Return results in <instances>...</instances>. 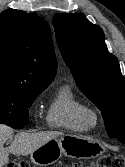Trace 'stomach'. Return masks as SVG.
I'll use <instances>...</instances> for the list:
<instances>
[{
  "label": "stomach",
  "instance_id": "0dacf381",
  "mask_svg": "<svg viewBox=\"0 0 125 167\" xmlns=\"http://www.w3.org/2000/svg\"><path fill=\"white\" fill-rule=\"evenodd\" d=\"M104 147L97 141L82 135L67 134L52 139L30 154L36 165L52 164L63 155L71 158L89 159L103 154Z\"/></svg>",
  "mask_w": 125,
  "mask_h": 167
}]
</instances>
